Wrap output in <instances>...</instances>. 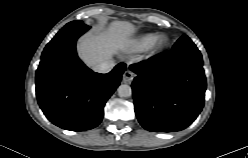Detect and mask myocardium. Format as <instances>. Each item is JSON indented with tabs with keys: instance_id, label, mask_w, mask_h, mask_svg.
Returning <instances> with one entry per match:
<instances>
[{
	"instance_id": "f54148a6",
	"label": "myocardium",
	"mask_w": 248,
	"mask_h": 158,
	"mask_svg": "<svg viewBox=\"0 0 248 158\" xmlns=\"http://www.w3.org/2000/svg\"><path fill=\"white\" fill-rule=\"evenodd\" d=\"M168 43V37L165 34L156 35L150 45V49L153 52L161 51L166 47Z\"/></svg>"
}]
</instances>
